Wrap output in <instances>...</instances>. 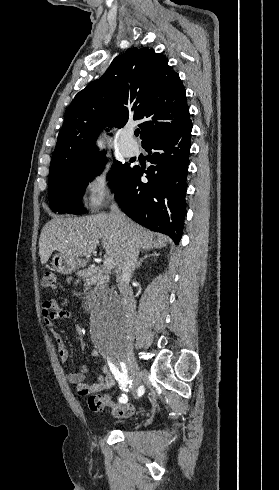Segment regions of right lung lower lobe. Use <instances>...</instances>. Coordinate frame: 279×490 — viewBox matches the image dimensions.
Instances as JSON below:
<instances>
[{
  "label": "right lung lower lobe",
  "mask_w": 279,
  "mask_h": 490,
  "mask_svg": "<svg viewBox=\"0 0 279 490\" xmlns=\"http://www.w3.org/2000/svg\"><path fill=\"white\" fill-rule=\"evenodd\" d=\"M192 122L168 134L149 139L142 147L153 165L144 171L133 167L115 192L122 211L139 224L169 235L175 243L182 236L186 214L187 173Z\"/></svg>",
  "instance_id": "1"
}]
</instances>
